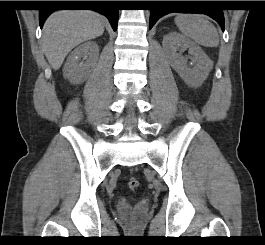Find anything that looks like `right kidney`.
Here are the masks:
<instances>
[{
    "label": "right kidney",
    "mask_w": 265,
    "mask_h": 245,
    "mask_svg": "<svg viewBox=\"0 0 265 245\" xmlns=\"http://www.w3.org/2000/svg\"><path fill=\"white\" fill-rule=\"evenodd\" d=\"M98 56L99 47L96 42L89 41L80 45L68 56L63 68L64 77L73 84L84 82L95 66Z\"/></svg>",
    "instance_id": "ca27d5eb"
}]
</instances>
